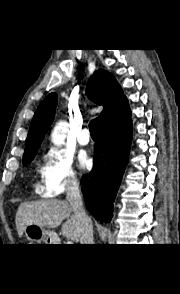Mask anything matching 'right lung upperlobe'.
<instances>
[{
    "mask_svg": "<svg viewBox=\"0 0 180 294\" xmlns=\"http://www.w3.org/2000/svg\"><path fill=\"white\" fill-rule=\"evenodd\" d=\"M87 93L93 102L103 105L101 119L127 100L113 75L102 69L95 71L90 78ZM56 106L57 95L55 93L49 94L39 105L29 129L23 160L34 158L54 119Z\"/></svg>",
    "mask_w": 180,
    "mask_h": 294,
    "instance_id": "obj_1",
    "label": "right lung upper lobe"
}]
</instances>
